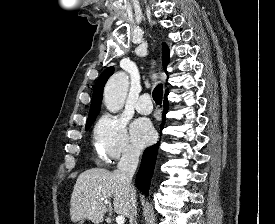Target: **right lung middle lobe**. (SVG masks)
Here are the masks:
<instances>
[{
  "mask_svg": "<svg viewBox=\"0 0 275 224\" xmlns=\"http://www.w3.org/2000/svg\"><path fill=\"white\" fill-rule=\"evenodd\" d=\"M94 122V120L93 121H90V122H87L86 123V130H88L89 129V127L92 125V123Z\"/></svg>",
  "mask_w": 275,
  "mask_h": 224,
  "instance_id": "right-lung-middle-lobe-1",
  "label": "right lung middle lobe"
}]
</instances>
